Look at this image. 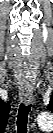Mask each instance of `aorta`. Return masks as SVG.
<instances>
[{
  "label": "aorta",
  "instance_id": "1",
  "mask_svg": "<svg viewBox=\"0 0 53 133\" xmlns=\"http://www.w3.org/2000/svg\"><path fill=\"white\" fill-rule=\"evenodd\" d=\"M37 122L43 129L50 128L52 126V115L50 113H42L38 115Z\"/></svg>",
  "mask_w": 53,
  "mask_h": 133
}]
</instances>
